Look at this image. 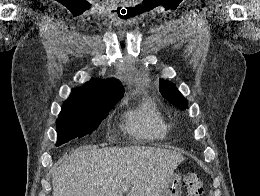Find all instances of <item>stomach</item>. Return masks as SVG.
Wrapping results in <instances>:
<instances>
[{
  "label": "stomach",
  "mask_w": 260,
  "mask_h": 196,
  "mask_svg": "<svg viewBox=\"0 0 260 196\" xmlns=\"http://www.w3.org/2000/svg\"><path fill=\"white\" fill-rule=\"evenodd\" d=\"M167 185H182V180H167ZM165 192H161V196L181 195L180 187H165Z\"/></svg>",
  "instance_id": "obj_1"
}]
</instances>
